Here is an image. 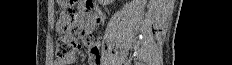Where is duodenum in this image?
<instances>
[{"label":"duodenum","mask_w":232,"mask_h":65,"mask_svg":"<svg viewBox=\"0 0 232 65\" xmlns=\"http://www.w3.org/2000/svg\"><path fill=\"white\" fill-rule=\"evenodd\" d=\"M82 29H90V23L87 20H84L82 23Z\"/></svg>","instance_id":"1"}]
</instances>
